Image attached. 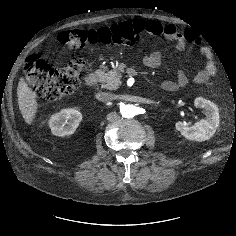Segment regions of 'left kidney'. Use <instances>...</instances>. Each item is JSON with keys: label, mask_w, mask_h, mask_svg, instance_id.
Listing matches in <instances>:
<instances>
[{"label": "left kidney", "mask_w": 236, "mask_h": 236, "mask_svg": "<svg viewBox=\"0 0 236 236\" xmlns=\"http://www.w3.org/2000/svg\"><path fill=\"white\" fill-rule=\"evenodd\" d=\"M194 106L202 108L205 111L206 118L193 126L178 121L175 123V127L186 139L202 142L210 139L215 134L220 123L219 109L216 104L202 97H197L194 100Z\"/></svg>", "instance_id": "obj_1"}]
</instances>
